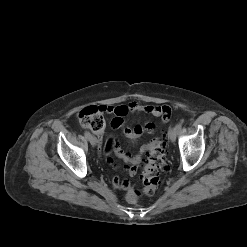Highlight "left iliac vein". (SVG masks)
Instances as JSON below:
<instances>
[{"mask_svg":"<svg viewBox=\"0 0 247 247\" xmlns=\"http://www.w3.org/2000/svg\"><path fill=\"white\" fill-rule=\"evenodd\" d=\"M178 132L179 130H177L176 126L169 129L168 134H169V139L171 140V142H175Z\"/></svg>","mask_w":247,"mask_h":247,"instance_id":"obj_1","label":"left iliac vein"}]
</instances>
